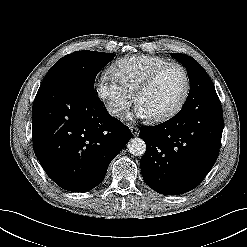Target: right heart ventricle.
<instances>
[{"mask_svg":"<svg viewBox=\"0 0 247 247\" xmlns=\"http://www.w3.org/2000/svg\"><path fill=\"white\" fill-rule=\"evenodd\" d=\"M168 63V60L157 56L135 55L118 60L109 73L132 96L150 73Z\"/></svg>","mask_w":247,"mask_h":247,"instance_id":"1","label":"right heart ventricle"}]
</instances>
